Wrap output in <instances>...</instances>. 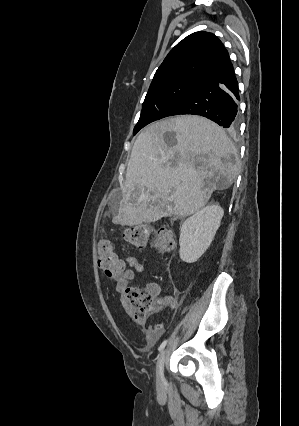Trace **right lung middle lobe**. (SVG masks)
<instances>
[{"label": "right lung middle lobe", "mask_w": 299, "mask_h": 426, "mask_svg": "<svg viewBox=\"0 0 299 426\" xmlns=\"http://www.w3.org/2000/svg\"><path fill=\"white\" fill-rule=\"evenodd\" d=\"M197 87L188 83H166L149 88L142 105L140 119L133 130V134L135 135L147 124L158 120L168 107Z\"/></svg>", "instance_id": "obj_1"}]
</instances>
